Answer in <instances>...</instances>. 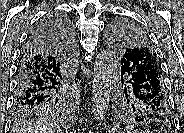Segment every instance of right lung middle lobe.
I'll list each match as a JSON object with an SVG mask.
<instances>
[{"instance_id": "dd1d6c3e", "label": "right lung middle lobe", "mask_w": 184, "mask_h": 133, "mask_svg": "<svg viewBox=\"0 0 184 133\" xmlns=\"http://www.w3.org/2000/svg\"><path fill=\"white\" fill-rule=\"evenodd\" d=\"M67 18V17H66ZM69 24L70 20L67 18ZM68 104V96H52L43 104L37 105H23L15 104V115L16 116H29L32 114H53L61 112L66 109Z\"/></svg>"}]
</instances>
